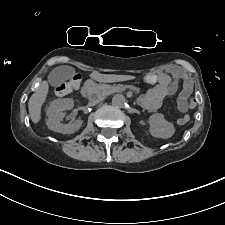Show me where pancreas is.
I'll return each instance as SVG.
<instances>
[{"label":"pancreas","mask_w":225,"mask_h":225,"mask_svg":"<svg viewBox=\"0 0 225 225\" xmlns=\"http://www.w3.org/2000/svg\"><path fill=\"white\" fill-rule=\"evenodd\" d=\"M126 88H131L136 92H139L140 89L136 87L124 86V85H107L101 84L97 86V89L102 92L104 95H108L114 92H121L124 91Z\"/></svg>","instance_id":"cf45deb5"}]
</instances>
